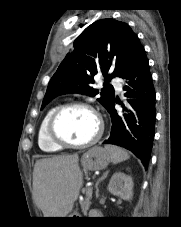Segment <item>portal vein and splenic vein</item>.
Returning <instances> with one entry per match:
<instances>
[{
  "mask_svg": "<svg viewBox=\"0 0 181 227\" xmlns=\"http://www.w3.org/2000/svg\"><path fill=\"white\" fill-rule=\"evenodd\" d=\"M87 194L89 195L90 198H92V188H88Z\"/></svg>",
  "mask_w": 181,
  "mask_h": 227,
  "instance_id": "obj_1",
  "label": "portal vein and splenic vein"
}]
</instances>
